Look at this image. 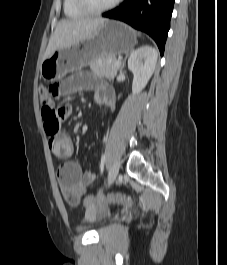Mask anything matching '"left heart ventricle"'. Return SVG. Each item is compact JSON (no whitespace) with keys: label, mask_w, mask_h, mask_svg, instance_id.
I'll list each match as a JSON object with an SVG mask.
<instances>
[{"label":"left heart ventricle","mask_w":227,"mask_h":265,"mask_svg":"<svg viewBox=\"0 0 227 265\" xmlns=\"http://www.w3.org/2000/svg\"><path fill=\"white\" fill-rule=\"evenodd\" d=\"M87 1L92 7L98 8V7H103L105 5H108L113 0H87Z\"/></svg>","instance_id":"obj_1"}]
</instances>
